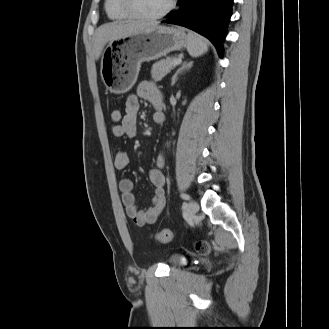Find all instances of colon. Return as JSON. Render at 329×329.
I'll return each mask as SVG.
<instances>
[{"mask_svg": "<svg viewBox=\"0 0 329 329\" xmlns=\"http://www.w3.org/2000/svg\"><path fill=\"white\" fill-rule=\"evenodd\" d=\"M111 121L117 125L122 121V112L120 109L115 108L111 111ZM155 238L162 243H167L173 238V231L169 228L159 230ZM195 249L199 254L205 255L209 252V246L206 241L199 240L195 243Z\"/></svg>", "mask_w": 329, "mask_h": 329, "instance_id": "obj_1", "label": "colon"}]
</instances>
